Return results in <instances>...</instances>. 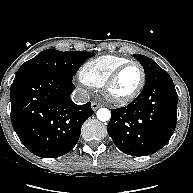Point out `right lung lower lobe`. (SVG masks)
I'll use <instances>...</instances> for the list:
<instances>
[{
	"label": "right lung lower lobe",
	"mask_w": 193,
	"mask_h": 193,
	"mask_svg": "<svg viewBox=\"0 0 193 193\" xmlns=\"http://www.w3.org/2000/svg\"><path fill=\"white\" fill-rule=\"evenodd\" d=\"M72 80L49 74L15 77L11 85V122L33 154L59 157L76 145L83 123L94 113L91 103L70 98Z\"/></svg>",
	"instance_id": "obj_1"
}]
</instances>
